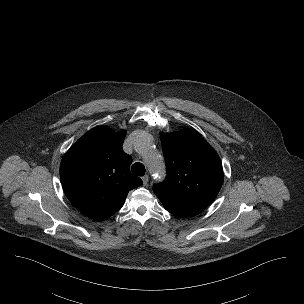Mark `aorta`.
Instances as JSON below:
<instances>
[{"label":"aorta","mask_w":304,"mask_h":304,"mask_svg":"<svg viewBox=\"0 0 304 304\" xmlns=\"http://www.w3.org/2000/svg\"><path fill=\"white\" fill-rule=\"evenodd\" d=\"M137 147L145 153L152 149V144L148 140L143 139L138 142ZM147 165L150 172L155 176L156 180L159 181L163 179L165 175V165L160 154L153 152L150 156H148Z\"/></svg>","instance_id":"obj_1"}]
</instances>
